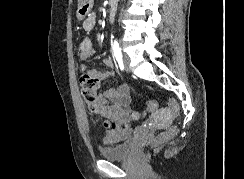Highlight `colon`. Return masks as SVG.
Masks as SVG:
<instances>
[{
	"label": "colon",
	"mask_w": 244,
	"mask_h": 179,
	"mask_svg": "<svg viewBox=\"0 0 244 179\" xmlns=\"http://www.w3.org/2000/svg\"><path fill=\"white\" fill-rule=\"evenodd\" d=\"M99 88V79L95 76L83 75L80 79V90L82 98L86 104L87 109L90 112L96 111V93ZM144 111L142 112V118H147V112H152L153 109H157V104L155 101H144ZM169 110V115H179L181 108L178 107L176 99H169L167 103ZM132 116H139V111H132ZM106 126H109V122H104ZM176 133H178L177 125H168L167 133L163 134V137L159 138L158 146L162 147V142H170L171 138H176Z\"/></svg>",
	"instance_id": "obj_1"
}]
</instances>
